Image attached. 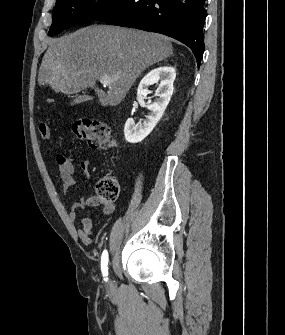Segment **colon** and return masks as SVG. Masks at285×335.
<instances>
[{
	"instance_id": "5ec220e1",
	"label": "colon",
	"mask_w": 285,
	"mask_h": 335,
	"mask_svg": "<svg viewBox=\"0 0 285 335\" xmlns=\"http://www.w3.org/2000/svg\"><path fill=\"white\" fill-rule=\"evenodd\" d=\"M72 131L79 140L86 141L94 149L106 150L115 146L109 127L101 121L80 119L73 124ZM39 132L43 139L51 138L47 123L39 124ZM96 192L104 202L113 203L119 197V182L114 177L105 176L97 182Z\"/></svg>"
}]
</instances>
